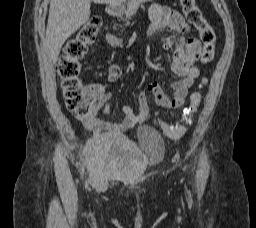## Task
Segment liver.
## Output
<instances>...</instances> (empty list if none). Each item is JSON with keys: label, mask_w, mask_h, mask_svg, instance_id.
Returning <instances> with one entry per match:
<instances>
[{"label": "liver", "mask_w": 256, "mask_h": 228, "mask_svg": "<svg viewBox=\"0 0 256 228\" xmlns=\"http://www.w3.org/2000/svg\"><path fill=\"white\" fill-rule=\"evenodd\" d=\"M121 5L125 0H51L46 30L47 53L56 63L64 42L90 17L91 2Z\"/></svg>", "instance_id": "liver-1"}]
</instances>
